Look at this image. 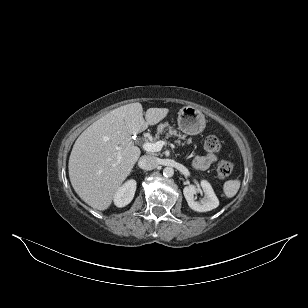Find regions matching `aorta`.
<instances>
[{
  "mask_svg": "<svg viewBox=\"0 0 308 308\" xmlns=\"http://www.w3.org/2000/svg\"><path fill=\"white\" fill-rule=\"evenodd\" d=\"M164 177H172L174 175V169L172 167H166L163 169Z\"/></svg>",
  "mask_w": 308,
  "mask_h": 308,
  "instance_id": "762f6f07",
  "label": "aorta"
}]
</instances>
